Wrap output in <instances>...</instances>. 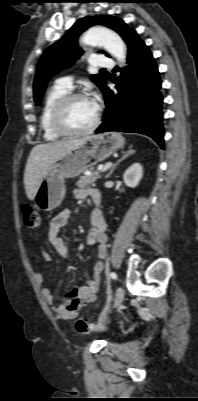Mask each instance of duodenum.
I'll list each match as a JSON object with an SVG mask.
<instances>
[{
  "mask_svg": "<svg viewBox=\"0 0 198 401\" xmlns=\"http://www.w3.org/2000/svg\"><path fill=\"white\" fill-rule=\"evenodd\" d=\"M91 198L95 201V203L99 202L100 196L97 192H92L91 193Z\"/></svg>",
  "mask_w": 198,
  "mask_h": 401,
  "instance_id": "1",
  "label": "duodenum"
}]
</instances>
